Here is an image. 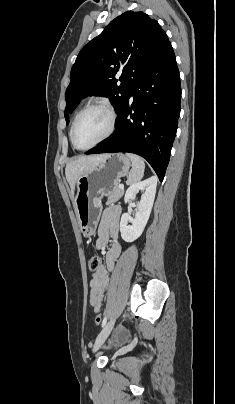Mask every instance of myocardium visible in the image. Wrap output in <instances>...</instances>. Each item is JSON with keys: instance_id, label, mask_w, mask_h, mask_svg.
Returning <instances> with one entry per match:
<instances>
[{"instance_id": "myocardium-1", "label": "myocardium", "mask_w": 235, "mask_h": 404, "mask_svg": "<svg viewBox=\"0 0 235 404\" xmlns=\"http://www.w3.org/2000/svg\"><path fill=\"white\" fill-rule=\"evenodd\" d=\"M91 109L105 110L108 113L109 119H110L109 127H108L107 132L98 141H96L95 143H93L92 145H90L88 147H79L75 143V140H74L75 128H76V125H77L79 119L82 117V115ZM116 119H117V114H116L115 109L106 102H94V103L87 105L86 107H84L82 110H80L78 112V114L76 115V117L72 123L71 130H70V140H71L72 145L76 149L81 150V151H86V150L92 149L93 147H95L98 144L102 143L103 141L107 140L113 134V132L115 130V126H116Z\"/></svg>"}]
</instances>
